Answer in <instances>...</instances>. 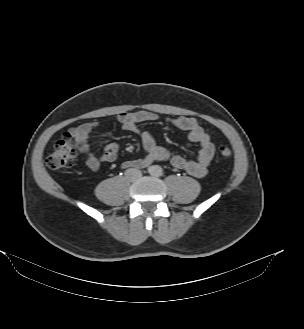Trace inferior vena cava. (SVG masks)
Returning <instances> with one entry per match:
<instances>
[{"instance_id":"1","label":"inferior vena cava","mask_w":304,"mask_h":329,"mask_svg":"<svg viewBox=\"0 0 304 329\" xmlns=\"http://www.w3.org/2000/svg\"><path fill=\"white\" fill-rule=\"evenodd\" d=\"M127 179L134 181L139 179L142 176V172L136 168L127 169L125 172Z\"/></svg>"}]
</instances>
